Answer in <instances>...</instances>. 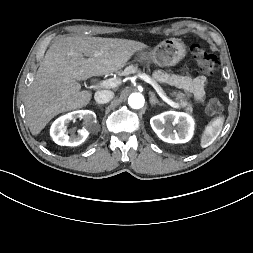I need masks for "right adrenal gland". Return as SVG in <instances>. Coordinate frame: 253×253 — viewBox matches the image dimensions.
Masks as SVG:
<instances>
[{"label":"right adrenal gland","mask_w":253,"mask_h":253,"mask_svg":"<svg viewBox=\"0 0 253 253\" xmlns=\"http://www.w3.org/2000/svg\"><path fill=\"white\" fill-rule=\"evenodd\" d=\"M96 106L100 107V105L98 103H95Z\"/></svg>","instance_id":"obj_1"}]
</instances>
